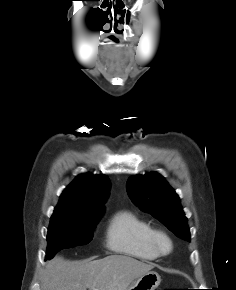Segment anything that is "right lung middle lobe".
<instances>
[{
    "label": "right lung middle lobe",
    "mask_w": 236,
    "mask_h": 290,
    "mask_svg": "<svg viewBox=\"0 0 236 290\" xmlns=\"http://www.w3.org/2000/svg\"><path fill=\"white\" fill-rule=\"evenodd\" d=\"M101 214L80 217L52 215L45 259L52 258L61 249L88 244L92 240L94 228Z\"/></svg>",
    "instance_id": "right-lung-middle-lobe-1"
}]
</instances>
